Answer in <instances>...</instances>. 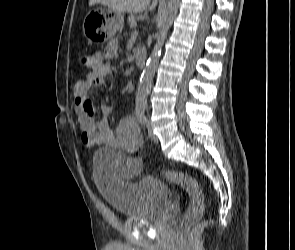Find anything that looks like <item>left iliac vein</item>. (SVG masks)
I'll return each instance as SVG.
<instances>
[{"label":"left iliac vein","mask_w":295,"mask_h":250,"mask_svg":"<svg viewBox=\"0 0 295 250\" xmlns=\"http://www.w3.org/2000/svg\"><path fill=\"white\" fill-rule=\"evenodd\" d=\"M146 127H147V131H148V135H149L150 139L154 143H158L159 142V139H158L157 135L154 134L153 128H152V124L148 120L146 121Z\"/></svg>","instance_id":"obj_1"}]
</instances>
